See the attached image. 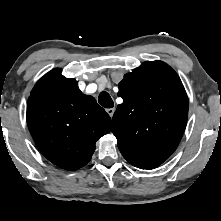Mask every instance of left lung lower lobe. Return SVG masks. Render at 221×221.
<instances>
[{"label": "left lung lower lobe", "mask_w": 221, "mask_h": 221, "mask_svg": "<svg viewBox=\"0 0 221 221\" xmlns=\"http://www.w3.org/2000/svg\"><path fill=\"white\" fill-rule=\"evenodd\" d=\"M121 153L129 163H131L132 165L138 168L150 170L159 166V164L141 160L128 152H121Z\"/></svg>", "instance_id": "obj_1"}]
</instances>
